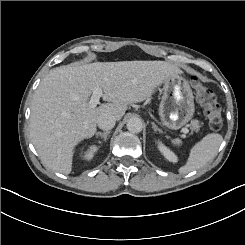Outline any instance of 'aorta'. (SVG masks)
<instances>
[{
	"instance_id": "1",
	"label": "aorta",
	"mask_w": 245,
	"mask_h": 245,
	"mask_svg": "<svg viewBox=\"0 0 245 245\" xmlns=\"http://www.w3.org/2000/svg\"><path fill=\"white\" fill-rule=\"evenodd\" d=\"M127 129L132 133H139L143 129V122L138 117H132L127 121Z\"/></svg>"
}]
</instances>
